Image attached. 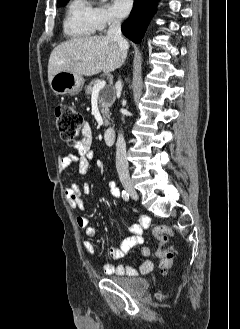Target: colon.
Returning a JSON list of instances; mask_svg holds the SVG:
<instances>
[{
    "label": "colon",
    "mask_w": 240,
    "mask_h": 329,
    "mask_svg": "<svg viewBox=\"0 0 240 329\" xmlns=\"http://www.w3.org/2000/svg\"><path fill=\"white\" fill-rule=\"evenodd\" d=\"M55 119L61 138L73 145L75 139L83 127V116L69 105H59L55 109ZM153 236L157 239L161 247L157 250L161 269H168L175 258V253L171 247H165L172 235V230L166 225H157L153 228Z\"/></svg>",
    "instance_id": "1"
}]
</instances>
